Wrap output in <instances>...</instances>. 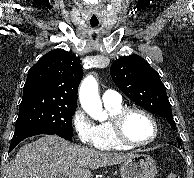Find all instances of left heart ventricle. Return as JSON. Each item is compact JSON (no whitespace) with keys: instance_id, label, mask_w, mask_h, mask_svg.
Returning <instances> with one entry per match:
<instances>
[{"instance_id":"obj_1","label":"left heart ventricle","mask_w":194,"mask_h":178,"mask_svg":"<svg viewBox=\"0 0 194 178\" xmlns=\"http://www.w3.org/2000/svg\"><path fill=\"white\" fill-rule=\"evenodd\" d=\"M125 132L130 140L143 143L153 137L154 129L147 117L140 113H132L125 122Z\"/></svg>"}]
</instances>
